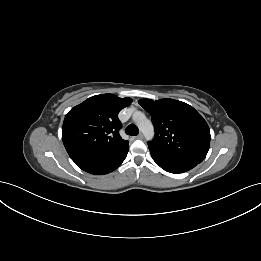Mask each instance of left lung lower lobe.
<instances>
[{"label": "left lung lower lobe", "mask_w": 261, "mask_h": 261, "mask_svg": "<svg viewBox=\"0 0 261 261\" xmlns=\"http://www.w3.org/2000/svg\"><path fill=\"white\" fill-rule=\"evenodd\" d=\"M151 156L153 160L165 171L170 172V173H183L186 171L191 170L194 168L197 164V162L173 156L170 154H166L164 152L155 150L151 147H149Z\"/></svg>", "instance_id": "obj_1"}]
</instances>
